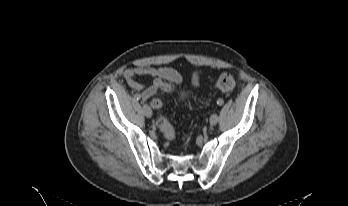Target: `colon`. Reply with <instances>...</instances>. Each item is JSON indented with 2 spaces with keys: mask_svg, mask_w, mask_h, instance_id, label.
Here are the masks:
<instances>
[{
  "mask_svg": "<svg viewBox=\"0 0 348 206\" xmlns=\"http://www.w3.org/2000/svg\"><path fill=\"white\" fill-rule=\"evenodd\" d=\"M235 80L230 74H223L221 75L218 80L216 81V87L222 91H232L235 88ZM174 89L173 84L166 83L162 87V91L165 93H168ZM187 97V93H182V99H185ZM151 105L159 109L162 107L163 103L160 98H155L152 100ZM157 126L159 127L160 132L162 135L168 139L172 140L175 136V130L174 127L170 124L168 119L165 115H159L157 118Z\"/></svg>",
  "mask_w": 348,
  "mask_h": 206,
  "instance_id": "obj_1",
  "label": "colon"
}]
</instances>
